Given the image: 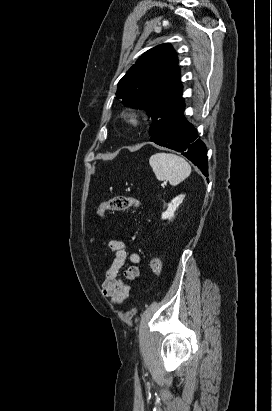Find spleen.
<instances>
[{
	"mask_svg": "<svg viewBox=\"0 0 272 411\" xmlns=\"http://www.w3.org/2000/svg\"><path fill=\"white\" fill-rule=\"evenodd\" d=\"M149 164L158 180L169 181L172 186L178 185L191 174L189 163L171 153H156L150 157Z\"/></svg>",
	"mask_w": 272,
	"mask_h": 411,
	"instance_id": "1",
	"label": "spleen"
}]
</instances>
